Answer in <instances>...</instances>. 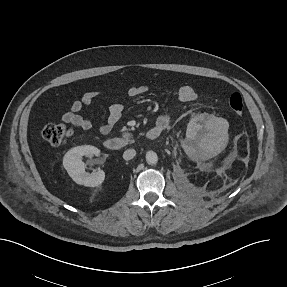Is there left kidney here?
I'll use <instances>...</instances> for the list:
<instances>
[{
	"label": "left kidney",
	"mask_w": 287,
	"mask_h": 287,
	"mask_svg": "<svg viewBox=\"0 0 287 287\" xmlns=\"http://www.w3.org/2000/svg\"><path fill=\"white\" fill-rule=\"evenodd\" d=\"M186 138L188 141L200 140L203 138V133L200 132V125L197 123L196 119H191V121L188 123ZM222 139H223V137H220L215 142V143H217V145L213 147V153L214 154H217L223 148ZM219 143H221V144H219ZM209 146H210V144H209Z\"/></svg>",
	"instance_id": "left-kidney-1"
}]
</instances>
